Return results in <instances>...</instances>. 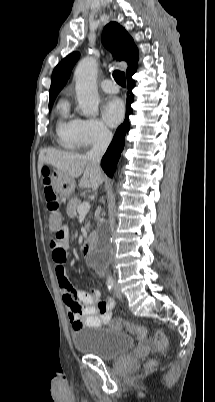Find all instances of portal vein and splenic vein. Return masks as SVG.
<instances>
[{
    "label": "portal vein and splenic vein",
    "mask_w": 215,
    "mask_h": 402,
    "mask_svg": "<svg viewBox=\"0 0 215 402\" xmlns=\"http://www.w3.org/2000/svg\"><path fill=\"white\" fill-rule=\"evenodd\" d=\"M90 209L89 202H83L82 204L78 205L77 212L80 216L86 215Z\"/></svg>",
    "instance_id": "obj_1"
}]
</instances>
